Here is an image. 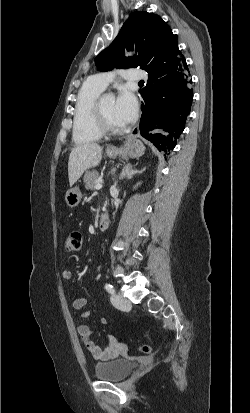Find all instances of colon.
I'll use <instances>...</instances> for the list:
<instances>
[{
  "instance_id": "obj_1",
  "label": "colon",
  "mask_w": 250,
  "mask_h": 413,
  "mask_svg": "<svg viewBox=\"0 0 250 413\" xmlns=\"http://www.w3.org/2000/svg\"><path fill=\"white\" fill-rule=\"evenodd\" d=\"M82 247V235L77 230L70 231L65 240V249L68 252H77ZM138 350L143 353H151L153 348L151 345H141L138 347Z\"/></svg>"
}]
</instances>
